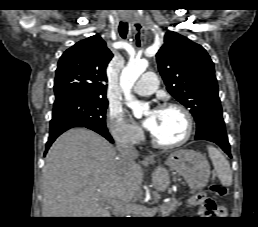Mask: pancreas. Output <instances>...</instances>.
<instances>
[{
    "instance_id": "1",
    "label": "pancreas",
    "mask_w": 258,
    "mask_h": 227,
    "mask_svg": "<svg viewBox=\"0 0 258 227\" xmlns=\"http://www.w3.org/2000/svg\"><path fill=\"white\" fill-rule=\"evenodd\" d=\"M179 200L173 198L170 202L163 204L162 206L155 208H146L142 212H133L132 217H153L156 212L159 213L158 217H168L176 207L179 205Z\"/></svg>"
}]
</instances>
